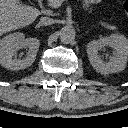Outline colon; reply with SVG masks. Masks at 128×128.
Returning <instances> with one entry per match:
<instances>
[{"instance_id": "1", "label": "colon", "mask_w": 128, "mask_h": 128, "mask_svg": "<svg viewBox=\"0 0 128 128\" xmlns=\"http://www.w3.org/2000/svg\"><path fill=\"white\" fill-rule=\"evenodd\" d=\"M123 8H124V11L126 12V14L128 15V0H126L123 4Z\"/></svg>"}]
</instances>
